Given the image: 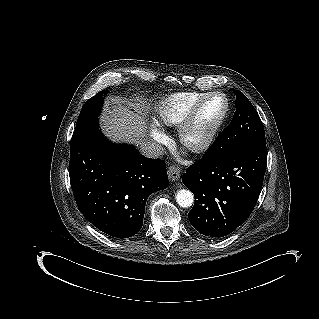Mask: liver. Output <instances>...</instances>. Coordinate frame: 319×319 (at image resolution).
<instances>
[{
	"mask_svg": "<svg viewBox=\"0 0 319 319\" xmlns=\"http://www.w3.org/2000/svg\"><path fill=\"white\" fill-rule=\"evenodd\" d=\"M100 120L105 135L115 142L135 145L147 142V127L143 117L125 105L117 103L106 109Z\"/></svg>",
	"mask_w": 319,
	"mask_h": 319,
	"instance_id": "6515ba94",
	"label": "liver"
}]
</instances>
